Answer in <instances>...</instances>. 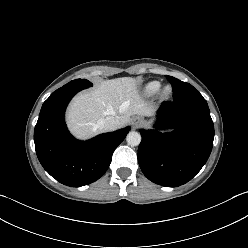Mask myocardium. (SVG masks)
<instances>
[{"instance_id":"obj_1","label":"myocardium","mask_w":248,"mask_h":248,"mask_svg":"<svg viewBox=\"0 0 248 248\" xmlns=\"http://www.w3.org/2000/svg\"><path fill=\"white\" fill-rule=\"evenodd\" d=\"M171 95V88L169 86H165L160 91V98L162 100H167L170 98Z\"/></svg>"}]
</instances>
